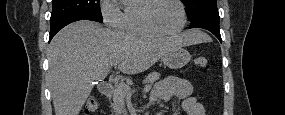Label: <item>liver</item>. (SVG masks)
<instances>
[{
  "label": "liver",
  "instance_id": "obj_1",
  "mask_svg": "<svg viewBox=\"0 0 285 115\" xmlns=\"http://www.w3.org/2000/svg\"><path fill=\"white\" fill-rule=\"evenodd\" d=\"M200 42L198 30L152 39L115 32L87 20L69 24L55 35L47 50L55 115H79L92 82L103 81L116 63L123 73L137 74L172 49Z\"/></svg>",
  "mask_w": 285,
  "mask_h": 115
}]
</instances>
